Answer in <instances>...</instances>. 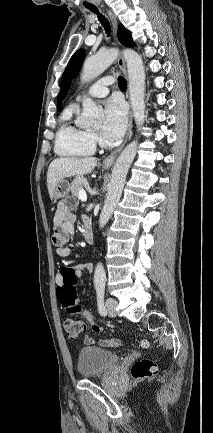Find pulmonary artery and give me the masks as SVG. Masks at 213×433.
<instances>
[{"label":"pulmonary artery","instance_id":"1","mask_svg":"<svg viewBox=\"0 0 213 433\" xmlns=\"http://www.w3.org/2000/svg\"><path fill=\"white\" fill-rule=\"evenodd\" d=\"M113 83V79L111 77H104L97 82H95L88 90L87 94L91 97L101 98L106 96L109 93L108 86ZM82 98L81 95L76 97V101H80Z\"/></svg>","mask_w":213,"mask_h":433}]
</instances>
